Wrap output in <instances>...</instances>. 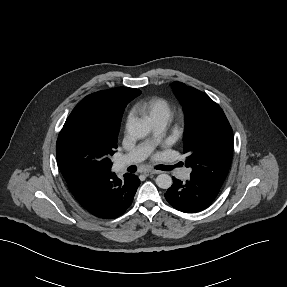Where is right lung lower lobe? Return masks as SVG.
<instances>
[{
    "label": "right lung lower lobe",
    "instance_id": "1",
    "mask_svg": "<svg viewBox=\"0 0 287 287\" xmlns=\"http://www.w3.org/2000/svg\"><path fill=\"white\" fill-rule=\"evenodd\" d=\"M139 185L140 180L133 174L127 173L120 179L110 173L97 180L68 185V189L89 213L112 219L122 215L131 205Z\"/></svg>",
    "mask_w": 287,
    "mask_h": 287
}]
</instances>
